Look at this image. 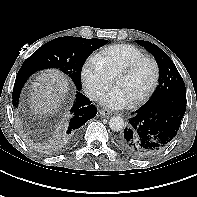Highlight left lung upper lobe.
I'll list each match as a JSON object with an SVG mask.
<instances>
[{
    "mask_svg": "<svg viewBox=\"0 0 197 197\" xmlns=\"http://www.w3.org/2000/svg\"><path fill=\"white\" fill-rule=\"evenodd\" d=\"M137 43L154 55L159 66V84L151 98L143 106L151 105L171 93L186 92L184 81L170 57L151 42L137 40Z\"/></svg>",
    "mask_w": 197,
    "mask_h": 197,
    "instance_id": "5c2ea615",
    "label": "left lung upper lobe"
}]
</instances>
